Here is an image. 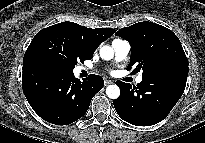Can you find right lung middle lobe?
<instances>
[{
  "instance_id": "right-lung-middle-lobe-1",
  "label": "right lung middle lobe",
  "mask_w": 205,
  "mask_h": 143,
  "mask_svg": "<svg viewBox=\"0 0 205 143\" xmlns=\"http://www.w3.org/2000/svg\"><path fill=\"white\" fill-rule=\"evenodd\" d=\"M38 58L51 61L73 71L80 61L92 58V54L68 29L59 25L40 30L31 41L24 59Z\"/></svg>"
}]
</instances>
